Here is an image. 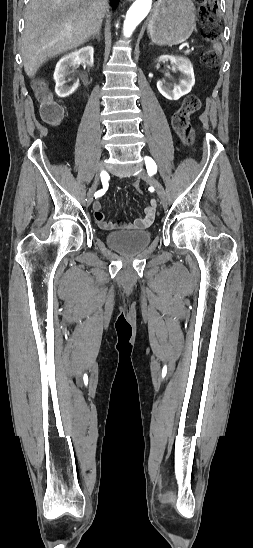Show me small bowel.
<instances>
[{
	"label": "small bowel",
	"mask_w": 253,
	"mask_h": 548,
	"mask_svg": "<svg viewBox=\"0 0 253 548\" xmlns=\"http://www.w3.org/2000/svg\"><path fill=\"white\" fill-rule=\"evenodd\" d=\"M157 202L152 199L149 205L145 208L144 215L135 219L134 222L128 223L125 220H118L116 222H110L105 219V215L102 211V204L100 201H96L93 205L94 217L98 225L105 230L113 229H138L142 230L151 225L154 220L156 212Z\"/></svg>",
	"instance_id": "1"
}]
</instances>
